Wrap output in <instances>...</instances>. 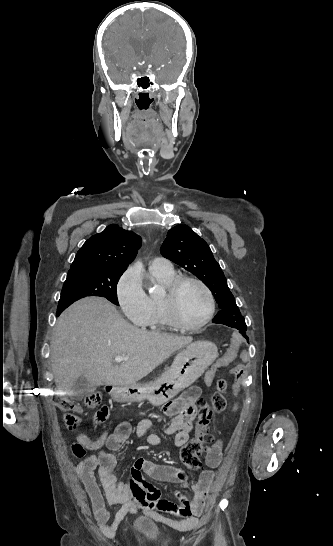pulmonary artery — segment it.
Here are the masks:
<instances>
[{
	"mask_svg": "<svg viewBox=\"0 0 333 546\" xmlns=\"http://www.w3.org/2000/svg\"><path fill=\"white\" fill-rule=\"evenodd\" d=\"M151 271L158 272H171L173 271V265L170 260L164 257H155L149 264Z\"/></svg>",
	"mask_w": 333,
	"mask_h": 546,
	"instance_id": "pulmonary-artery-1",
	"label": "pulmonary artery"
}]
</instances>
